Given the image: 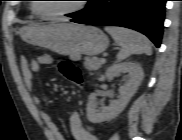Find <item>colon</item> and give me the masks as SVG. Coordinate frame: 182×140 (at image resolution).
<instances>
[{
  "instance_id": "1",
  "label": "colon",
  "mask_w": 182,
  "mask_h": 140,
  "mask_svg": "<svg viewBox=\"0 0 182 140\" xmlns=\"http://www.w3.org/2000/svg\"><path fill=\"white\" fill-rule=\"evenodd\" d=\"M62 73L74 82H79V71L71 63L65 62L60 65Z\"/></svg>"
}]
</instances>
